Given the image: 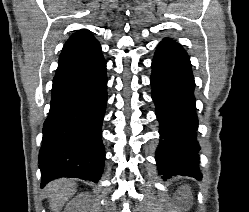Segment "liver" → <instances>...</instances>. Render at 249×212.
Returning <instances> with one entry per match:
<instances>
[{"instance_id":"1","label":"liver","mask_w":249,"mask_h":212,"mask_svg":"<svg viewBox=\"0 0 249 212\" xmlns=\"http://www.w3.org/2000/svg\"><path fill=\"white\" fill-rule=\"evenodd\" d=\"M51 212H60L65 202L72 198L76 192V186L70 180H55L48 186Z\"/></svg>"}]
</instances>
